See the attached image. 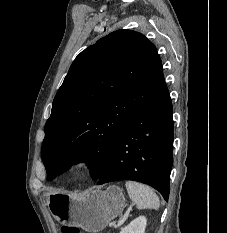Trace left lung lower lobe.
Returning a JSON list of instances; mask_svg holds the SVG:
<instances>
[{"instance_id":"obj_1","label":"left lung lower lobe","mask_w":227,"mask_h":233,"mask_svg":"<svg viewBox=\"0 0 227 233\" xmlns=\"http://www.w3.org/2000/svg\"><path fill=\"white\" fill-rule=\"evenodd\" d=\"M172 114L171 98L164 85L122 131L98 184L138 181L152 186L168 200L173 164Z\"/></svg>"}]
</instances>
